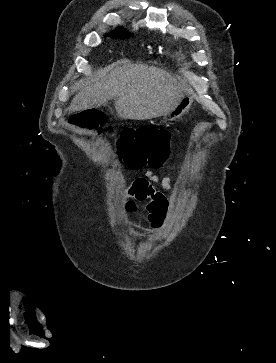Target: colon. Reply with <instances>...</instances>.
<instances>
[{
    "label": "colon",
    "instance_id": "colon-1",
    "mask_svg": "<svg viewBox=\"0 0 276 363\" xmlns=\"http://www.w3.org/2000/svg\"><path fill=\"white\" fill-rule=\"evenodd\" d=\"M72 120L81 127H91L101 124L103 117L88 109L75 114ZM170 138L167 130L149 126L136 130L123 129L120 132L119 152L132 168L160 167L170 156ZM159 222L160 219L153 224L157 226Z\"/></svg>",
    "mask_w": 276,
    "mask_h": 363
}]
</instances>
